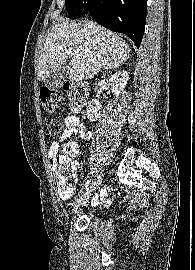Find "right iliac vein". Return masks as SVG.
Returning <instances> with one entry per match:
<instances>
[{
  "label": "right iliac vein",
  "instance_id": "1",
  "mask_svg": "<svg viewBox=\"0 0 195 270\" xmlns=\"http://www.w3.org/2000/svg\"><path fill=\"white\" fill-rule=\"evenodd\" d=\"M102 183L101 175L97 177V179L90 185L89 189L74 203L73 213H77L82 205L88 202L89 198L93 195L95 190Z\"/></svg>",
  "mask_w": 195,
  "mask_h": 270
}]
</instances>
